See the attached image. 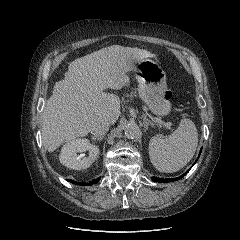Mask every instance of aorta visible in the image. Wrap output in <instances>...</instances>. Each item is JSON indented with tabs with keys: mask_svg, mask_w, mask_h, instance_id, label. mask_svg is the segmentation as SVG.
Instances as JSON below:
<instances>
[{
	"mask_svg": "<svg viewBox=\"0 0 240 240\" xmlns=\"http://www.w3.org/2000/svg\"><path fill=\"white\" fill-rule=\"evenodd\" d=\"M140 134V128L137 124H128L125 128V137L128 139H135Z\"/></svg>",
	"mask_w": 240,
	"mask_h": 240,
	"instance_id": "aorta-1",
	"label": "aorta"
}]
</instances>
